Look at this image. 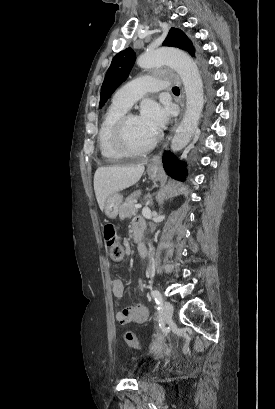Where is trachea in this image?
I'll return each mask as SVG.
<instances>
[{"label":"trachea","instance_id":"3493384b","mask_svg":"<svg viewBox=\"0 0 275 409\" xmlns=\"http://www.w3.org/2000/svg\"><path fill=\"white\" fill-rule=\"evenodd\" d=\"M172 91H173V92H180V90H179L178 87H173V88H172Z\"/></svg>","mask_w":275,"mask_h":409}]
</instances>
